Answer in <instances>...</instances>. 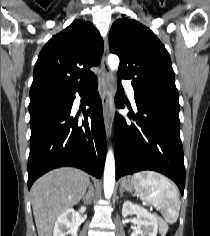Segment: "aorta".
I'll return each mask as SVG.
<instances>
[{
    "mask_svg": "<svg viewBox=\"0 0 210 236\" xmlns=\"http://www.w3.org/2000/svg\"><path fill=\"white\" fill-rule=\"evenodd\" d=\"M119 57L115 54L108 56V65L111 70L119 66ZM115 183V158L111 150L108 151L104 169V194L107 199L112 196Z\"/></svg>",
    "mask_w": 210,
    "mask_h": 236,
    "instance_id": "1",
    "label": "aorta"
}]
</instances>
